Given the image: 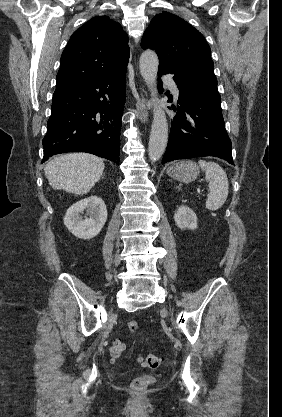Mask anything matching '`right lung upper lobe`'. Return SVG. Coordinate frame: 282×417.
Returning a JSON list of instances; mask_svg holds the SVG:
<instances>
[{
	"label": "right lung upper lobe",
	"mask_w": 282,
	"mask_h": 417,
	"mask_svg": "<svg viewBox=\"0 0 282 417\" xmlns=\"http://www.w3.org/2000/svg\"><path fill=\"white\" fill-rule=\"evenodd\" d=\"M128 36L108 16H96L76 30L61 56L56 90L125 71Z\"/></svg>",
	"instance_id": "cb5924a9"
}]
</instances>
